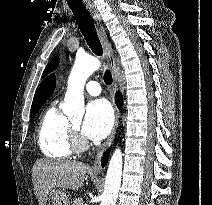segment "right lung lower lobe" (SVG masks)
Wrapping results in <instances>:
<instances>
[{
    "mask_svg": "<svg viewBox=\"0 0 212 205\" xmlns=\"http://www.w3.org/2000/svg\"><path fill=\"white\" fill-rule=\"evenodd\" d=\"M115 101H116L117 106L121 109V108H122V103H123L121 93H116ZM108 156H109V151H107V152L103 155V158H102V166H104V165L107 163Z\"/></svg>",
    "mask_w": 212,
    "mask_h": 205,
    "instance_id": "right-lung-lower-lobe-1",
    "label": "right lung lower lobe"
}]
</instances>
